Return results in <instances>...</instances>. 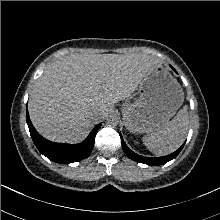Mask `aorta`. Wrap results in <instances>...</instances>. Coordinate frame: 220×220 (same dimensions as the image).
Wrapping results in <instances>:
<instances>
[{"mask_svg":"<svg viewBox=\"0 0 220 220\" xmlns=\"http://www.w3.org/2000/svg\"><path fill=\"white\" fill-rule=\"evenodd\" d=\"M106 121L109 126H117L119 123V117L116 114H110Z\"/></svg>","mask_w":220,"mask_h":220,"instance_id":"1","label":"aorta"}]
</instances>
